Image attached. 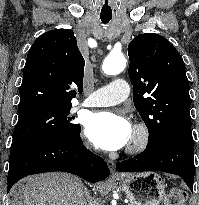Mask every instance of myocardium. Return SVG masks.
Returning a JSON list of instances; mask_svg holds the SVG:
<instances>
[{
    "label": "myocardium",
    "mask_w": 199,
    "mask_h": 205,
    "mask_svg": "<svg viewBox=\"0 0 199 205\" xmlns=\"http://www.w3.org/2000/svg\"><path fill=\"white\" fill-rule=\"evenodd\" d=\"M150 142V131L144 123H138L134 126L133 138L128 146V152L137 154L144 151Z\"/></svg>",
    "instance_id": "obj_1"
}]
</instances>
